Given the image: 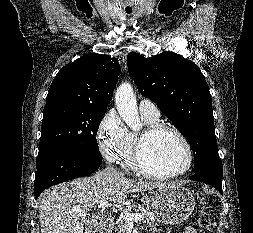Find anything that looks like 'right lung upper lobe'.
<instances>
[{"label": "right lung upper lobe", "mask_w": 253, "mask_h": 233, "mask_svg": "<svg viewBox=\"0 0 253 233\" xmlns=\"http://www.w3.org/2000/svg\"><path fill=\"white\" fill-rule=\"evenodd\" d=\"M121 69L116 58L90 53L65 65L46 98L50 104H82L107 108Z\"/></svg>", "instance_id": "right-lung-upper-lobe-1"}]
</instances>
